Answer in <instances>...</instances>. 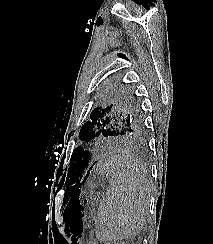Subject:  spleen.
Returning a JSON list of instances; mask_svg holds the SVG:
<instances>
[{
	"instance_id": "spleen-1",
	"label": "spleen",
	"mask_w": 213,
	"mask_h": 244,
	"mask_svg": "<svg viewBox=\"0 0 213 244\" xmlns=\"http://www.w3.org/2000/svg\"><path fill=\"white\" fill-rule=\"evenodd\" d=\"M102 168L110 187L98 207L97 237L115 242L133 238L142 230L147 215V171L127 156H114Z\"/></svg>"
}]
</instances>
